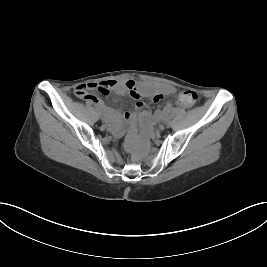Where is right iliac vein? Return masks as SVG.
<instances>
[{"label":"right iliac vein","mask_w":267,"mask_h":267,"mask_svg":"<svg viewBox=\"0 0 267 267\" xmlns=\"http://www.w3.org/2000/svg\"><path fill=\"white\" fill-rule=\"evenodd\" d=\"M98 116H99V117H102V113H98Z\"/></svg>","instance_id":"1"}]
</instances>
